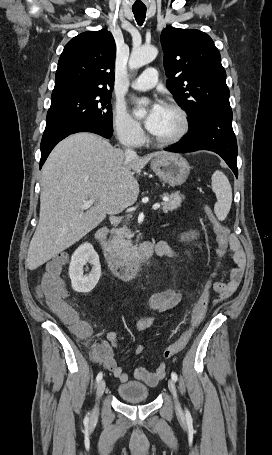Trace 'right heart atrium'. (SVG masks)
<instances>
[{
    "instance_id": "obj_1",
    "label": "right heart atrium",
    "mask_w": 272,
    "mask_h": 455,
    "mask_svg": "<svg viewBox=\"0 0 272 455\" xmlns=\"http://www.w3.org/2000/svg\"><path fill=\"white\" fill-rule=\"evenodd\" d=\"M112 127L118 140L127 146H138L144 140L140 124L121 105L113 109Z\"/></svg>"
}]
</instances>
